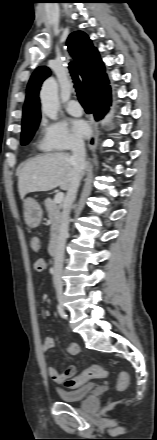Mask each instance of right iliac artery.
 Here are the masks:
<instances>
[{
    "label": "right iliac artery",
    "instance_id": "1",
    "mask_svg": "<svg viewBox=\"0 0 157 440\" xmlns=\"http://www.w3.org/2000/svg\"><path fill=\"white\" fill-rule=\"evenodd\" d=\"M57 310H58V313L60 314V316L62 318H65V313L60 305H57Z\"/></svg>",
    "mask_w": 157,
    "mask_h": 440
}]
</instances>
